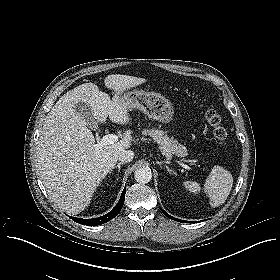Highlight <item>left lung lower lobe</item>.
Wrapping results in <instances>:
<instances>
[{
  "label": "left lung lower lobe",
  "instance_id": "left-lung-lower-lobe-1",
  "mask_svg": "<svg viewBox=\"0 0 280 280\" xmlns=\"http://www.w3.org/2000/svg\"><path fill=\"white\" fill-rule=\"evenodd\" d=\"M161 211L163 212V214H164L165 216H167L168 218H170V219H172V220H175V221H178V222H183V223H192V222H187V221H185V220L176 219V218L170 216L169 214H167L163 209H161ZM193 223H194V222H193Z\"/></svg>",
  "mask_w": 280,
  "mask_h": 280
}]
</instances>
